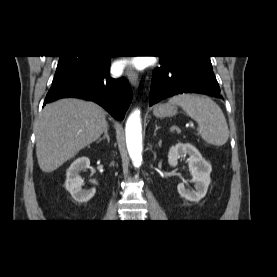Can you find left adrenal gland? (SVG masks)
Segmentation results:
<instances>
[{
  "mask_svg": "<svg viewBox=\"0 0 277 277\" xmlns=\"http://www.w3.org/2000/svg\"><path fill=\"white\" fill-rule=\"evenodd\" d=\"M158 129H160V127L155 125L154 135H156V132H157Z\"/></svg>",
  "mask_w": 277,
  "mask_h": 277,
  "instance_id": "obj_1",
  "label": "left adrenal gland"
}]
</instances>
